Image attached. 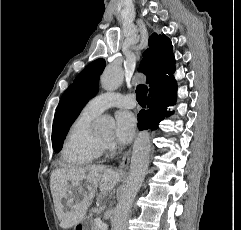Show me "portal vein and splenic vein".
Instances as JSON below:
<instances>
[{
    "instance_id": "18ae733b",
    "label": "portal vein and splenic vein",
    "mask_w": 241,
    "mask_h": 230,
    "mask_svg": "<svg viewBox=\"0 0 241 230\" xmlns=\"http://www.w3.org/2000/svg\"><path fill=\"white\" fill-rule=\"evenodd\" d=\"M97 225L102 229L104 230L105 228H107V225L105 223H102V221L100 220V218H96L95 219Z\"/></svg>"
}]
</instances>
